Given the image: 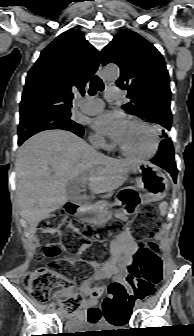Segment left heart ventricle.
Returning <instances> with one entry per match:
<instances>
[{"label": "left heart ventricle", "instance_id": "b2bd125f", "mask_svg": "<svg viewBox=\"0 0 194 336\" xmlns=\"http://www.w3.org/2000/svg\"><path fill=\"white\" fill-rule=\"evenodd\" d=\"M117 142L126 150L134 153H148L153 147L152 134L144 127L134 123H126Z\"/></svg>", "mask_w": 194, "mask_h": 336}]
</instances>
